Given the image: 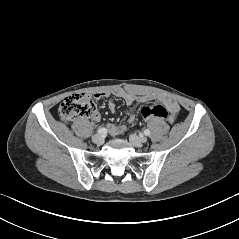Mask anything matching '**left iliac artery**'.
Instances as JSON below:
<instances>
[{"label": "left iliac artery", "instance_id": "44dca946", "mask_svg": "<svg viewBox=\"0 0 239 239\" xmlns=\"http://www.w3.org/2000/svg\"><path fill=\"white\" fill-rule=\"evenodd\" d=\"M144 134H145L146 136H149V135H150V130L146 129V130L144 131Z\"/></svg>", "mask_w": 239, "mask_h": 239}]
</instances>
